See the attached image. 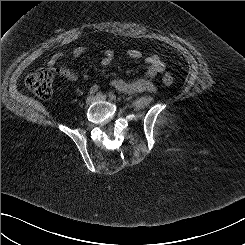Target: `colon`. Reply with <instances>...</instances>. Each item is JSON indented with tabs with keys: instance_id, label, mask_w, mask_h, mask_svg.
<instances>
[{
	"instance_id": "1",
	"label": "colon",
	"mask_w": 245,
	"mask_h": 245,
	"mask_svg": "<svg viewBox=\"0 0 245 245\" xmlns=\"http://www.w3.org/2000/svg\"><path fill=\"white\" fill-rule=\"evenodd\" d=\"M175 77L172 73L166 72L162 77V83L166 87L174 84ZM53 74L46 68L39 69L27 76L25 84L37 97L48 99L52 95Z\"/></svg>"
}]
</instances>
